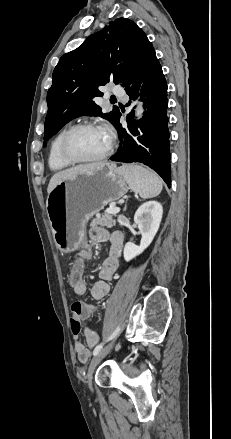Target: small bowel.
Returning a JSON list of instances; mask_svg holds the SVG:
<instances>
[{"label":"small bowel","mask_w":231,"mask_h":439,"mask_svg":"<svg viewBox=\"0 0 231 439\" xmlns=\"http://www.w3.org/2000/svg\"><path fill=\"white\" fill-rule=\"evenodd\" d=\"M90 239L92 244H100L106 241H110L111 248L109 256L104 260L99 270V280L91 288V296L95 300H101L109 293V282L113 279L119 268V258L123 249V235L121 232L115 231L109 233L104 228L95 227L90 231ZM91 258L90 245H86L85 249L81 252L80 260L81 264H85L87 260ZM89 285L88 283H76L74 293L78 298L88 297ZM97 311V306L93 304H87L84 302H75L72 305V314L77 316L79 320L86 321L91 315ZM84 336L86 338L85 345L79 336L74 335V350L77 354L78 360L81 363H87L90 357V349H92L99 341L98 334L90 329L88 326L84 327Z\"/></svg>","instance_id":"obj_1"}]
</instances>
